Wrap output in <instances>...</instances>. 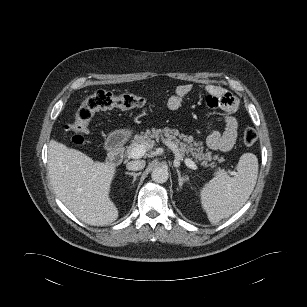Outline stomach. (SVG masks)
<instances>
[{
	"label": "stomach",
	"mask_w": 307,
	"mask_h": 307,
	"mask_svg": "<svg viewBox=\"0 0 307 307\" xmlns=\"http://www.w3.org/2000/svg\"><path fill=\"white\" fill-rule=\"evenodd\" d=\"M121 139H126L131 135L130 129L120 130L116 133Z\"/></svg>",
	"instance_id": "1"
}]
</instances>
